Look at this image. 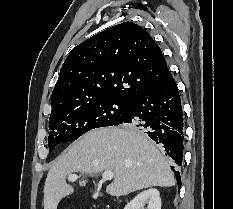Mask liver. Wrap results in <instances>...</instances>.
Segmentation results:
<instances>
[{
  "label": "liver",
  "instance_id": "obj_1",
  "mask_svg": "<svg viewBox=\"0 0 233 209\" xmlns=\"http://www.w3.org/2000/svg\"><path fill=\"white\" fill-rule=\"evenodd\" d=\"M105 171L114 174L106 192L115 197L175 185L168 163L143 132L131 126L99 128L74 142L51 167L44 185V209H57L60 200L74 192L66 183L67 175Z\"/></svg>",
  "mask_w": 233,
  "mask_h": 209
}]
</instances>
